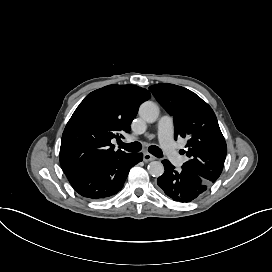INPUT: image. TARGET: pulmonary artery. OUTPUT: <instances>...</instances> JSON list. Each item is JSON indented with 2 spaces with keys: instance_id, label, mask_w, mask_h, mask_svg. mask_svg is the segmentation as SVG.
<instances>
[{
  "instance_id": "pulmonary-artery-1",
  "label": "pulmonary artery",
  "mask_w": 272,
  "mask_h": 272,
  "mask_svg": "<svg viewBox=\"0 0 272 272\" xmlns=\"http://www.w3.org/2000/svg\"><path fill=\"white\" fill-rule=\"evenodd\" d=\"M168 125V128H166ZM173 119L162 118L158 123V137L162 150L168 154L169 158L172 159L173 163L179 167L184 166L185 161L178 154V148L173 143Z\"/></svg>"
}]
</instances>
